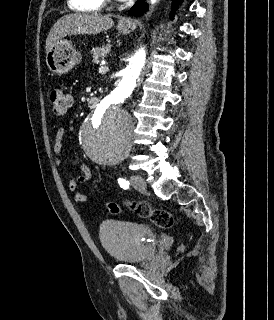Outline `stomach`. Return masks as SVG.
I'll return each mask as SVG.
<instances>
[{"label": "stomach", "mask_w": 274, "mask_h": 320, "mask_svg": "<svg viewBox=\"0 0 274 320\" xmlns=\"http://www.w3.org/2000/svg\"><path fill=\"white\" fill-rule=\"evenodd\" d=\"M137 22H131L130 26H118L120 34H130L136 30ZM81 56L70 40H59L56 46L50 48L46 54V64L53 74H67L76 64H79Z\"/></svg>", "instance_id": "1"}]
</instances>
